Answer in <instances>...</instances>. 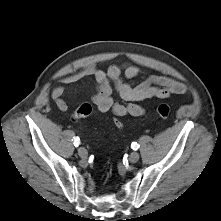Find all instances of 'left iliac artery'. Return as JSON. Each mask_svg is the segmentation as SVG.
<instances>
[{"mask_svg":"<svg viewBox=\"0 0 221 221\" xmlns=\"http://www.w3.org/2000/svg\"><path fill=\"white\" fill-rule=\"evenodd\" d=\"M132 149L137 150L139 148V145L136 142H133L131 144Z\"/></svg>","mask_w":221,"mask_h":221,"instance_id":"obj_1","label":"left iliac artery"}]
</instances>
